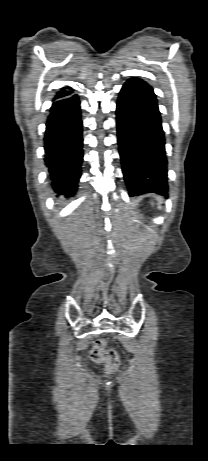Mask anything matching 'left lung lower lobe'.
Returning <instances> with one entry per match:
<instances>
[{
  "label": "left lung lower lobe",
  "instance_id": "obj_1",
  "mask_svg": "<svg viewBox=\"0 0 208 461\" xmlns=\"http://www.w3.org/2000/svg\"><path fill=\"white\" fill-rule=\"evenodd\" d=\"M122 171L130 196L166 195L165 138L156 96L140 78L123 85L116 109Z\"/></svg>",
  "mask_w": 208,
  "mask_h": 461
}]
</instances>
